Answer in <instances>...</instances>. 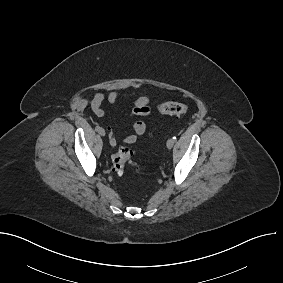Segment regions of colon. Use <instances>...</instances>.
Instances as JSON below:
<instances>
[{"label": "colon", "mask_w": 283, "mask_h": 283, "mask_svg": "<svg viewBox=\"0 0 283 283\" xmlns=\"http://www.w3.org/2000/svg\"><path fill=\"white\" fill-rule=\"evenodd\" d=\"M158 111L164 115L180 116L188 111V106L180 102L167 101L158 105ZM132 157L133 151L131 148L127 146L121 147L112 156L113 172L119 176L123 175L126 165L132 162Z\"/></svg>", "instance_id": "5ec220e1"}]
</instances>
